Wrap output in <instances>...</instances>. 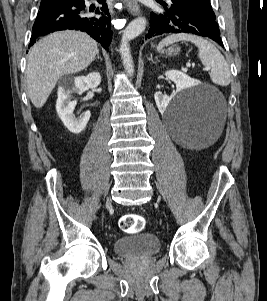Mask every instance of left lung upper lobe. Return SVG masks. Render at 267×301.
I'll list each match as a JSON object with an SVG mask.
<instances>
[{"label":"left lung upper lobe","instance_id":"obj_1","mask_svg":"<svg viewBox=\"0 0 267 301\" xmlns=\"http://www.w3.org/2000/svg\"><path fill=\"white\" fill-rule=\"evenodd\" d=\"M181 1L191 4L197 10L202 11L210 18L216 19V16L212 10L209 0H181Z\"/></svg>","mask_w":267,"mask_h":301}]
</instances>
